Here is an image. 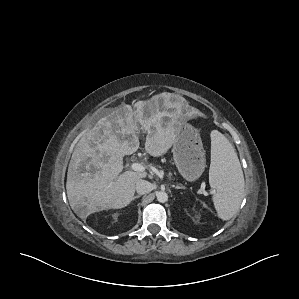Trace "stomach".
Instances as JSON below:
<instances>
[{"mask_svg": "<svg viewBox=\"0 0 299 299\" xmlns=\"http://www.w3.org/2000/svg\"><path fill=\"white\" fill-rule=\"evenodd\" d=\"M172 152L175 165L187 181L197 180L206 166L205 151L199 131L188 123L175 126Z\"/></svg>", "mask_w": 299, "mask_h": 299, "instance_id": "stomach-1", "label": "stomach"}]
</instances>
